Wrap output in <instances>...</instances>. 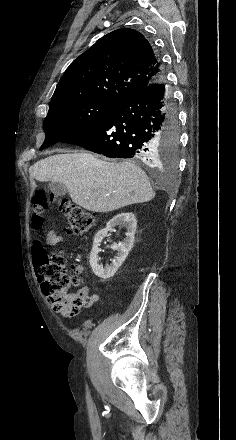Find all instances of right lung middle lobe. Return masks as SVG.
<instances>
[{
  "label": "right lung middle lobe",
  "mask_w": 236,
  "mask_h": 440,
  "mask_svg": "<svg viewBox=\"0 0 236 440\" xmlns=\"http://www.w3.org/2000/svg\"><path fill=\"white\" fill-rule=\"evenodd\" d=\"M119 105L94 99L50 103L49 112L43 123L45 141L40 150L59 141L64 142L91 128ZM178 139V129L165 130L161 133L158 145L166 162L175 163Z\"/></svg>",
  "instance_id": "1"
}]
</instances>
